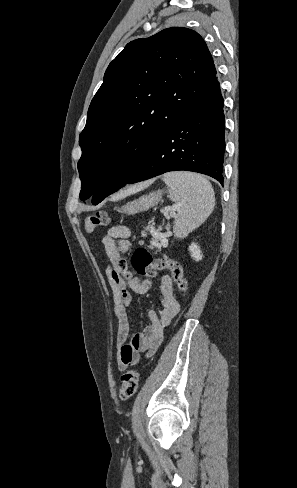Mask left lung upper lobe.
Returning a JSON list of instances; mask_svg holds the SVG:
<instances>
[{"instance_id":"obj_1","label":"left lung upper lobe","mask_w":297,"mask_h":488,"mask_svg":"<svg viewBox=\"0 0 297 488\" xmlns=\"http://www.w3.org/2000/svg\"><path fill=\"white\" fill-rule=\"evenodd\" d=\"M219 84L195 31L172 27L137 39L109 64L79 137L80 199L122 188L173 126Z\"/></svg>"}]
</instances>
